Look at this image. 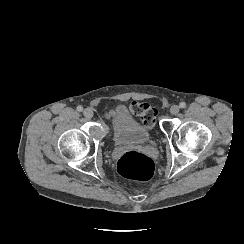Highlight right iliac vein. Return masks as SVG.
<instances>
[{
    "mask_svg": "<svg viewBox=\"0 0 244 244\" xmlns=\"http://www.w3.org/2000/svg\"><path fill=\"white\" fill-rule=\"evenodd\" d=\"M83 114L86 118H92L94 113L92 111L91 108H86L84 111H83Z\"/></svg>",
    "mask_w": 244,
    "mask_h": 244,
    "instance_id": "1",
    "label": "right iliac vein"
}]
</instances>
